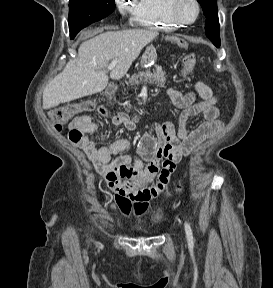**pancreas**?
<instances>
[{"instance_id":"cf45deb5","label":"pancreas","mask_w":273,"mask_h":288,"mask_svg":"<svg viewBox=\"0 0 273 288\" xmlns=\"http://www.w3.org/2000/svg\"><path fill=\"white\" fill-rule=\"evenodd\" d=\"M167 81V77L165 76V72L158 68L156 71L151 72L150 70L141 71L138 74H134L130 77L128 83L133 87H137L141 83H153L163 86Z\"/></svg>"}]
</instances>
